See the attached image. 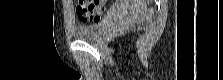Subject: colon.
Segmentation results:
<instances>
[{
	"label": "colon",
	"mask_w": 223,
	"mask_h": 80,
	"mask_svg": "<svg viewBox=\"0 0 223 80\" xmlns=\"http://www.w3.org/2000/svg\"><path fill=\"white\" fill-rule=\"evenodd\" d=\"M104 4V1L99 0H80L76 4V12L81 20L97 22L105 9Z\"/></svg>",
	"instance_id": "obj_1"
}]
</instances>
